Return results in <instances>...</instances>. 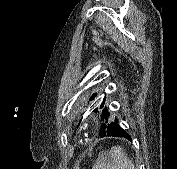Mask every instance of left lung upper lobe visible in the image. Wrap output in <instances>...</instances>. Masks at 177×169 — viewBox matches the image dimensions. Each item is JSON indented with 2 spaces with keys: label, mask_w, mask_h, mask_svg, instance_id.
Wrapping results in <instances>:
<instances>
[{
  "label": "left lung upper lobe",
  "mask_w": 177,
  "mask_h": 169,
  "mask_svg": "<svg viewBox=\"0 0 177 169\" xmlns=\"http://www.w3.org/2000/svg\"><path fill=\"white\" fill-rule=\"evenodd\" d=\"M96 96L97 94H94L92 97H90V99L88 100V103L92 102ZM103 105L104 103H102V106ZM108 116H109V113L107 111V108H105L103 110V115H102V119H105V122L101 124L99 136L105 132L108 125L112 124V121H108Z\"/></svg>",
  "instance_id": "obj_1"
}]
</instances>
